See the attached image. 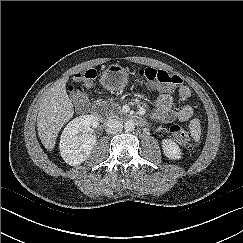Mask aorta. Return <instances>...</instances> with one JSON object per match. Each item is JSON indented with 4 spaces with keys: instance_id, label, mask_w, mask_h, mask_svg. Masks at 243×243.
<instances>
[{
    "instance_id": "aorta-1",
    "label": "aorta",
    "mask_w": 243,
    "mask_h": 243,
    "mask_svg": "<svg viewBox=\"0 0 243 243\" xmlns=\"http://www.w3.org/2000/svg\"><path fill=\"white\" fill-rule=\"evenodd\" d=\"M135 128V122L133 120H127L125 123H124V129L126 131H133Z\"/></svg>"
}]
</instances>
